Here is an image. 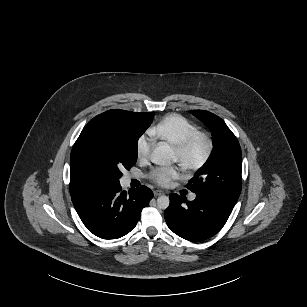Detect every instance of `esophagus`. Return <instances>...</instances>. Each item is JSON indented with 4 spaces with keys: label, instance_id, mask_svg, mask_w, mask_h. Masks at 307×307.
<instances>
[{
    "label": "esophagus",
    "instance_id": "1",
    "mask_svg": "<svg viewBox=\"0 0 307 307\" xmlns=\"http://www.w3.org/2000/svg\"><path fill=\"white\" fill-rule=\"evenodd\" d=\"M163 194H164V192L161 191V190H155V191H154V196H161V195H163Z\"/></svg>",
    "mask_w": 307,
    "mask_h": 307
}]
</instances>
